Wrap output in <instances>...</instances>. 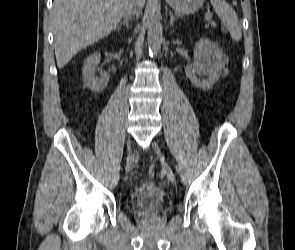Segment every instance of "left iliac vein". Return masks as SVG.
<instances>
[{
    "label": "left iliac vein",
    "mask_w": 295,
    "mask_h": 250,
    "mask_svg": "<svg viewBox=\"0 0 295 250\" xmlns=\"http://www.w3.org/2000/svg\"><path fill=\"white\" fill-rule=\"evenodd\" d=\"M152 146H153V150L157 153V155H159V157L162 160L163 170L165 171L168 180L170 182H174L175 181L174 173H173L170 165L168 164L163 152L161 151L159 145L157 144V142L153 141Z\"/></svg>",
    "instance_id": "left-iliac-vein-1"
}]
</instances>
